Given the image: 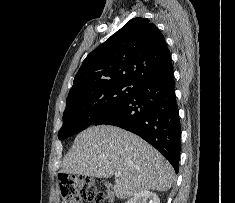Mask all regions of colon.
I'll list each match as a JSON object with an SVG mask.
<instances>
[{
  "mask_svg": "<svg viewBox=\"0 0 235 203\" xmlns=\"http://www.w3.org/2000/svg\"><path fill=\"white\" fill-rule=\"evenodd\" d=\"M59 193L61 203H104V194L87 176L61 174L59 176Z\"/></svg>",
  "mask_w": 235,
  "mask_h": 203,
  "instance_id": "5ec220e1",
  "label": "colon"
}]
</instances>
